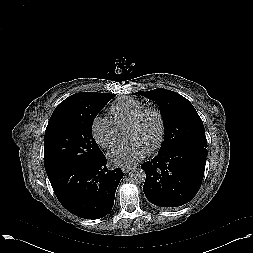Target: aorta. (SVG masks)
Instances as JSON below:
<instances>
[{
  "label": "aorta",
  "instance_id": "obj_1",
  "mask_svg": "<svg viewBox=\"0 0 253 253\" xmlns=\"http://www.w3.org/2000/svg\"><path fill=\"white\" fill-rule=\"evenodd\" d=\"M146 174L145 171L141 168H136L129 173V179L131 182L140 184L145 181Z\"/></svg>",
  "mask_w": 253,
  "mask_h": 253
}]
</instances>
